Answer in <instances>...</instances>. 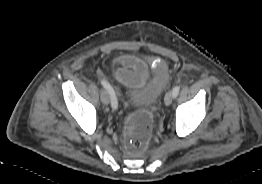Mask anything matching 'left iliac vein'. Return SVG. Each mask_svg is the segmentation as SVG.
<instances>
[{
	"instance_id": "1",
	"label": "left iliac vein",
	"mask_w": 262,
	"mask_h": 184,
	"mask_svg": "<svg viewBox=\"0 0 262 184\" xmlns=\"http://www.w3.org/2000/svg\"><path fill=\"white\" fill-rule=\"evenodd\" d=\"M174 98L173 92L168 91L165 95L164 102L166 106H169Z\"/></svg>"
}]
</instances>
